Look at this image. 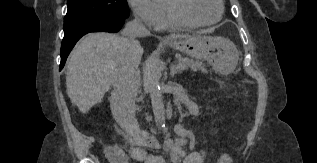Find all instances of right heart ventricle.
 I'll use <instances>...</instances> for the list:
<instances>
[{
    "label": "right heart ventricle",
    "instance_id": "e07e8e85",
    "mask_svg": "<svg viewBox=\"0 0 317 163\" xmlns=\"http://www.w3.org/2000/svg\"><path fill=\"white\" fill-rule=\"evenodd\" d=\"M160 3V17L155 25L158 29H178L184 27L182 25L177 24L174 22L168 15L166 8H165V0H158Z\"/></svg>",
    "mask_w": 317,
    "mask_h": 163
}]
</instances>
